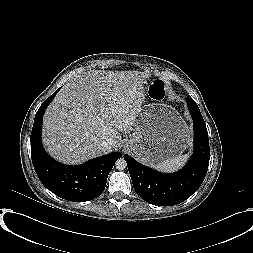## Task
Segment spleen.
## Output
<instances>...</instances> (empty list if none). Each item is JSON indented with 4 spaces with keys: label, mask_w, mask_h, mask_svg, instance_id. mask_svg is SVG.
<instances>
[{
    "label": "spleen",
    "mask_w": 253,
    "mask_h": 253,
    "mask_svg": "<svg viewBox=\"0 0 253 253\" xmlns=\"http://www.w3.org/2000/svg\"><path fill=\"white\" fill-rule=\"evenodd\" d=\"M189 159V154L180 155L175 158H170L162 161L154 166L159 171L172 172L181 168Z\"/></svg>",
    "instance_id": "1"
}]
</instances>
